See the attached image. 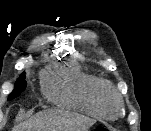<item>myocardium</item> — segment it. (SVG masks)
<instances>
[{
    "label": "myocardium",
    "mask_w": 151,
    "mask_h": 131,
    "mask_svg": "<svg viewBox=\"0 0 151 131\" xmlns=\"http://www.w3.org/2000/svg\"><path fill=\"white\" fill-rule=\"evenodd\" d=\"M111 102L115 105L114 111L109 108ZM98 105L105 117H116L123 107V98L112 86L106 84L98 96Z\"/></svg>",
    "instance_id": "1"
}]
</instances>
